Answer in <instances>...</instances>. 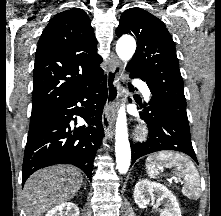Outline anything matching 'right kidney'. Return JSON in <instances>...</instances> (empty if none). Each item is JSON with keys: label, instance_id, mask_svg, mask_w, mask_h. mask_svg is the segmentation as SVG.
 <instances>
[{"label": "right kidney", "instance_id": "1", "mask_svg": "<svg viewBox=\"0 0 221 216\" xmlns=\"http://www.w3.org/2000/svg\"><path fill=\"white\" fill-rule=\"evenodd\" d=\"M45 216H79V208L74 203H62L50 211Z\"/></svg>", "mask_w": 221, "mask_h": 216}]
</instances>
